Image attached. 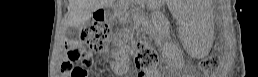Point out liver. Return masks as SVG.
<instances>
[{"label":"liver","instance_id":"6515ba94","mask_svg":"<svg viewBox=\"0 0 258 77\" xmlns=\"http://www.w3.org/2000/svg\"><path fill=\"white\" fill-rule=\"evenodd\" d=\"M110 2V0H69V26L80 27L91 18L94 11Z\"/></svg>","mask_w":258,"mask_h":77}]
</instances>
